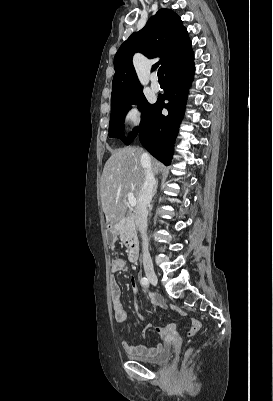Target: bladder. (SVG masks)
I'll use <instances>...</instances> for the list:
<instances>
[{"label":"bladder","instance_id":"31cf9c89","mask_svg":"<svg viewBox=\"0 0 273 401\" xmlns=\"http://www.w3.org/2000/svg\"><path fill=\"white\" fill-rule=\"evenodd\" d=\"M171 356V346L167 345L155 359H145L138 356H131V359L147 365H162L167 363L170 360Z\"/></svg>","mask_w":273,"mask_h":401}]
</instances>
